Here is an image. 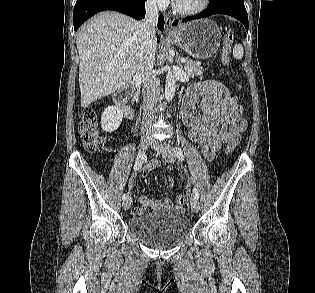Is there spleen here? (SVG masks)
Instances as JSON below:
<instances>
[{"label":"spleen","instance_id":"3e777b00","mask_svg":"<svg viewBox=\"0 0 315 293\" xmlns=\"http://www.w3.org/2000/svg\"><path fill=\"white\" fill-rule=\"evenodd\" d=\"M243 46L241 44H235L233 47V55L236 59H241L243 57Z\"/></svg>","mask_w":315,"mask_h":293}]
</instances>
